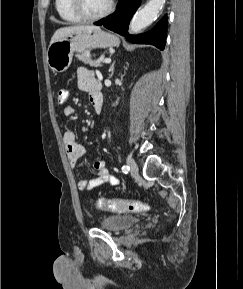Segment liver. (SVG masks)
Segmentation results:
<instances>
[{
    "label": "liver",
    "mask_w": 243,
    "mask_h": 289,
    "mask_svg": "<svg viewBox=\"0 0 243 289\" xmlns=\"http://www.w3.org/2000/svg\"><path fill=\"white\" fill-rule=\"evenodd\" d=\"M98 29H100L98 26H88V25H74V26L62 27L55 31V33L53 34L51 38L50 44L62 39L69 33L77 31V30H98Z\"/></svg>",
    "instance_id": "6515ba94"
}]
</instances>
